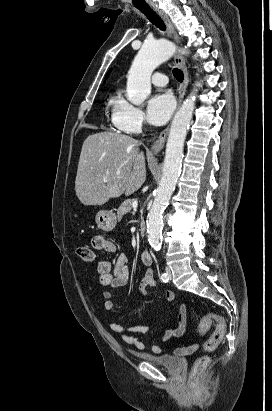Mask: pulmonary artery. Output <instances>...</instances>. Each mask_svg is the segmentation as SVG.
Here are the masks:
<instances>
[{"label": "pulmonary artery", "mask_w": 272, "mask_h": 411, "mask_svg": "<svg viewBox=\"0 0 272 411\" xmlns=\"http://www.w3.org/2000/svg\"><path fill=\"white\" fill-rule=\"evenodd\" d=\"M152 83H153L155 86L164 87V86H166L167 83H168V78H167V76H166L165 74H163V73H155V74L152 76Z\"/></svg>", "instance_id": "e3ab8cb5"}]
</instances>
